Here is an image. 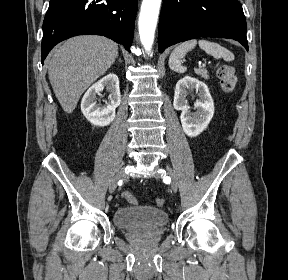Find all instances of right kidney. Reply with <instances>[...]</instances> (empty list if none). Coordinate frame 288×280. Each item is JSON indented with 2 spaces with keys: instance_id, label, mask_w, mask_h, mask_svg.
Wrapping results in <instances>:
<instances>
[{
  "instance_id": "right-kidney-1",
  "label": "right kidney",
  "mask_w": 288,
  "mask_h": 280,
  "mask_svg": "<svg viewBox=\"0 0 288 280\" xmlns=\"http://www.w3.org/2000/svg\"><path fill=\"white\" fill-rule=\"evenodd\" d=\"M106 88L110 92L106 105L96 102V95ZM121 103L119 79L110 73L93 84L84 94L81 101V111L87 120L95 126L109 125L115 118V110Z\"/></svg>"
}]
</instances>
